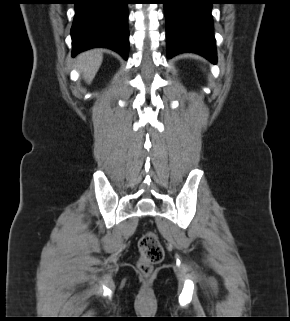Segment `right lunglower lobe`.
I'll return each mask as SVG.
<instances>
[{
	"mask_svg": "<svg viewBox=\"0 0 290 321\" xmlns=\"http://www.w3.org/2000/svg\"><path fill=\"white\" fill-rule=\"evenodd\" d=\"M71 29L72 55L105 47L128 57L127 0H76Z\"/></svg>",
	"mask_w": 290,
	"mask_h": 321,
	"instance_id": "98d812e1",
	"label": "right lung lower lobe"
}]
</instances>
